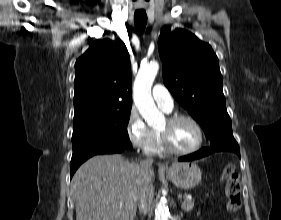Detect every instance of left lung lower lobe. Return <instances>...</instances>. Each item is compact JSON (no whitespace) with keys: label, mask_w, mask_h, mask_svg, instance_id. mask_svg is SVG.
<instances>
[{"label":"left lung lower lobe","mask_w":281,"mask_h":220,"mask_svg":"<svg viewBox=\"0 0 281 220\" xmlns=\"http://www.w3.org/2000/svg\"><path fill=\"white\" fill-rule=\"evenodd\" d=\"M219 151L234 152L240 157L239 147H234V148H231V149H228V150H218V149H215V148H212V147H205V148H202L200 151H198L196 153L180 157L179 161H192V160L199 159V158L205 157L209 154H212L214 152H219Z\"/></svg>","instance_id":"0a47b994"}]
</instances>
